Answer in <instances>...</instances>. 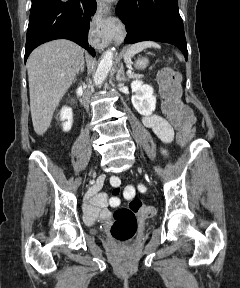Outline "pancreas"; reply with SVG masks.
<instances>
[{
	"instance_id": "cf45deb5",
	"label": "pancreas",
	"mask_w": 240,
	"mask_h": 288,
	"mask_svg": "<svg viewBox=\"0 0 240 288\" xmlns=\"http://www.w3.org/2000/svg\"><path fill=\"white\" fill-rule=\"evenodd\" d=\"M128 77H129V78H138L139 75H136V74H134V73H131V74L128 75Z\"/></svg>"
}]
</instances>
